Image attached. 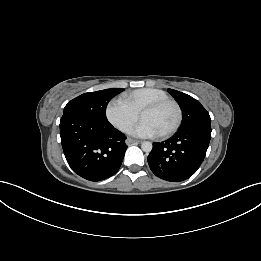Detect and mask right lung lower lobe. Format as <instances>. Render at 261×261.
Segmentation results:
<instances>
[{
  "instance_id": "1",
  "label": "right lung lower lobe",
  "mask_w": 261,
  "mask_h": 261,
  "mask_svg": "<svg viewBox=\"0 0 261 261\" xmlns=\"http://www.w3.org/2000/svg\"><path fill=\"white\" fill-rule=\"evenodd\" d=\"M60 136L64 155L72 170L89 181H100L120 168L126 136L108 121L63 114Z\"/></svg>"
}]
</instances>
